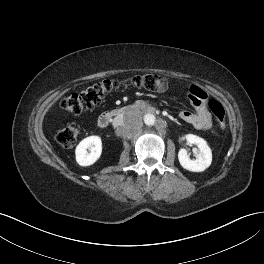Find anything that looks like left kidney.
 Returning <instances> with one entry per match:
<instances>
[{"instance_id":"obj_1","label":"left kidney","mask_w":264,"mask_h":264,"mask_svg":"<svg viewBox=\"0 0 264 264\" xmlns=\"http://www.w3.org/2000/svg\"><path fill=\"white\" fill-rule=\"evenodd\" d=\"M186 140L188 143L196 145L199 153L196 156V159L192 160L188 156L186 149H180L178 152V159L181 166L192 172L204 171L212 162V151L210 147L203 138L193 134L186 135Z\"/></svg>"}]
</instances>
